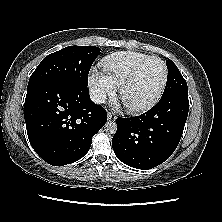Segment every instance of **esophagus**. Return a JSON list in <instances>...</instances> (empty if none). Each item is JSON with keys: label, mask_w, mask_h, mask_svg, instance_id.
I'll return each instance as SVG.
<instances>
[{"label": "esophagus", "mask_w": 222, "mask_h": 222, "mask_svg": "<svg viewBox=\"0 0 222 222\" xmlns=\"http://www.w3.org/2000/svg\"><path fill=\"white\" fill-rule=\"evenodd\" d=\"M107 120L108 121H115L116 120V116L113 113H108L107 114Z\"/></svg>", "instance_id": "1"}]
</instances>
